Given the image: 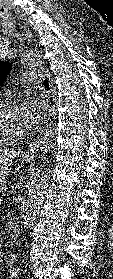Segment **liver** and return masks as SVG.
I'll list each match as a JSON object with an SVG mask.
<instances>
[{"label":"liver","instance_id":"6515ba94","mask_svg":"<svg viewBox=\"0 0 113 279\" xmlns=\"http://www.w3.org/2000/svg\"><path fill=\"white\" fill-rule=\"evenodd\" d=\"M18 156V152L5 149L0 150V164L12 163V161Z\"/></svg>","mask_w":113,"mask_h":279}]
</instances>
